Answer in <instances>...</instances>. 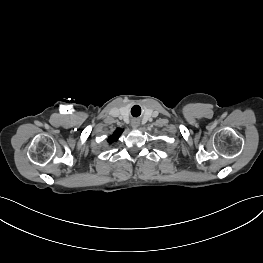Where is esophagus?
Listing matches in <instances>:
<instances>
[{"label": "esophagus", "mask_w": 263, "mask_h": 263, "mask_svg": "<svg viewBox=\"0 0 263 263\" xmlns=\"http://www.w3.org/2000/svg\"><path fill=\"white\" fill-rule=\"evenodd\" d=\"M138 126V122L137 121H134L133 122V127L136 128Z\"/></svg>", "instance_id": "34e87169"}]
</instances>
